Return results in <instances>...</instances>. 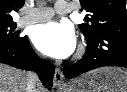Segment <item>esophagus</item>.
I'll list each match as a JSON object with an SVG mask.
<instances>
[{"label": "esophagus", "instance_id": "1", "mask_svg": "<svg viewBox=\"0 0 127 92\" xmlns=\"http://www.w3.org/2000/svg\"><path fill=\"white\" fill-rule=\"evenodd\" d=\"M53 85L56 88H63L66 85L65 82H64L63 72L58 67L55 69V74H54V79H53Z\"/></svg>", "mask_w": 127, "mask_h": 92}]
</instances>
